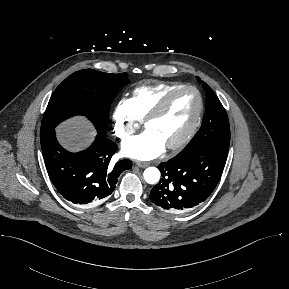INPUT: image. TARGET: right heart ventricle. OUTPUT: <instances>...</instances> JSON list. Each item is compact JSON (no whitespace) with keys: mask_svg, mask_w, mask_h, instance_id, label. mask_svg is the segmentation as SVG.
I'll use <instances>...</instances> for the list:
<instances>
[{"mask_svg":"<svg viewBox=\"0 0 289 289\" xmlns=\"http://www.w3.org/2000/svg\"><path fill=\"white\" fill-rule=\"evenodd\" d=\"M181 86L177 82H159L136 87L130 100L137 120L143 121L170 91Z\"/></svg>","mask_w":289,"mask_h":289,"instance_id":"obj_1","label":"right heart ventricle"}]
</instances>
